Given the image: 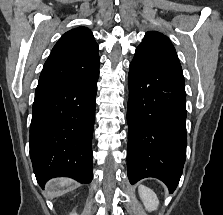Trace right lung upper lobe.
<instances>
[{
	"label": "right lung upper lobe",
	"mask_w": 223,
	"mask_h": 215,
	"mask_svg": "<svg viewBox=\"0 0 223 215\" xmlns=\"http://www.w3.org/2000/svg\"><path fill=\"white\" fill-rule=\"evenodd\" d=\"M98 45L85 27L72 29L58 40L44 64L36 93L84 79L99 69Z\"/></svg>",
	"instance_id": "cb5924a9"
}]
</instances>
